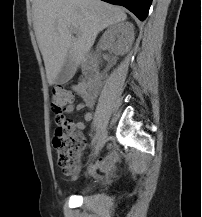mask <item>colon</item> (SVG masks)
I'll return each instance as SVG.
<instances>
[{
  "label": "colon",
  "instance_id": "5ec220e1",
  "mask_svg": "<svg viewBox=\"0 0 202 217\" xmlns=\"http://www.w3.org/2000/svg\"><path fill=\"white\" fill-rule=\"evenodd\" d=\"M74 101L75 94L69 90L57 88L52 91L50 106L57 115L53 145L58 165L68 175H74L79 170L80 156L86 143L83 132L74 128L64 116Z\"/></svg>",
  "mask_w": 202,
  "mask_h": 217
}]
</instances>
